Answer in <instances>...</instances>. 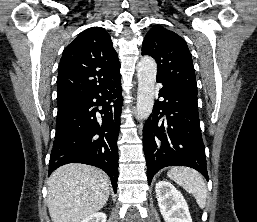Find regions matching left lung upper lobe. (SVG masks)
I'll use <instances>...</instances> for the list:
<instances>
[{
  "label": "left lung upper lobe",
  "mask_w": 257,
  "mask_h": 222,
  "mask_svg": "<svg viewBox=\"0 0 257 222\" xmlns=\"http://www.w3.org/2000/svg\"><path fill=\"white\" fill-rule=\"evenodd\" d=\"M142 55L156 60L157 78L197 94L191 53L178 34L161 26L153 27L144 38Z\"/></svg>",
  "instance_id": "left-lung-upper-lobe-1"
}]
</instances>
